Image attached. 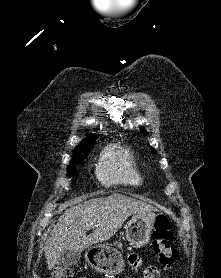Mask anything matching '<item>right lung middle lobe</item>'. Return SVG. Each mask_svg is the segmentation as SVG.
Segmentation results:
<instances>
[{"label":"right lung middle lobe","instance_id":"dd1d6c3e","mask_svg":"<svg viewBox=\"0 0 221 278\" xmlns=\"http://www.w3.org/2000/svg\"><path fill=\"white\" fill-rule=\"evenodd\" d=\"M94 144L90 145V146H87L85 148H82V149H79V150H76L75 153H74V157L73 159L71 160L70 164H77V163H80L82 162L89 154V151L91 149V147L93 146ZM67 172H68V175L69 176H75L76 174V169L74 166L70 165L68 166L67 168Z\"/></svg>","mask_w":221,"mask_h":278}]
</instances>
